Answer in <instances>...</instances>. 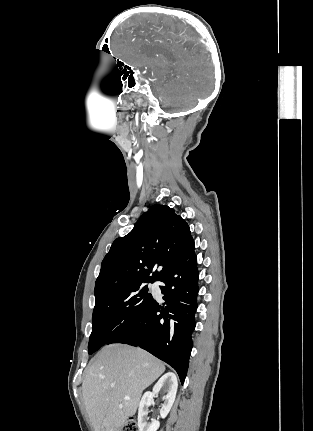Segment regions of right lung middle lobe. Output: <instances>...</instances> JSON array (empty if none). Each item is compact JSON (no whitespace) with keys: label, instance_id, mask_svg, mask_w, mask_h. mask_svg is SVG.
Masks as SVG:
<instances>
[{"label":"right lung middle lobe","instance_id":"right-lung-middle-lobe-1","mask_svg":"<svg viewBox=\"0 0 313 431\" xmlns=\"http://www.w3.org/2000/svg\"><path fill=\"white\" fill-rule=\"evenodd\" d=\"M153 299L147 285H138L104 296L95 302L89 354L124 330Z\"/></svg>","mask_w":313,"mask_h":431}]
</instances>
